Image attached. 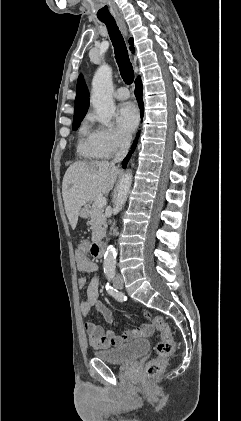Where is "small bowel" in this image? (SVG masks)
Listing matches in <instances>:
<instances>
[{"label": "small bowel", "mask_w": 241, "mask_h": 421, "mask_svg": "<svg viewBox=\"0 0 241 421\" xmlns=\"http://www.w3.org/2000/svg\"><path fill=\"white\" fill-rule=\"evenodd\" d=\"M76 264L79 271L93 274L90 281L85 277H80L78 279V287L80 289L86 288V298L80 305V312L85 319L84 329L88 335L89 343L94 349L118 347L125 342L149 336L153 333V326L150 323H145L140 327L125 331L121 335H116L111 328L114 321L112 312L99 300V278L96 275L98 271L97 263L90 259L88 255H81L76 252ZM93 309L100 313L108 325L107 328L97 325L89 319Z\"/></svg>", "instance_id": "c3829d8e"}]
</instances>
